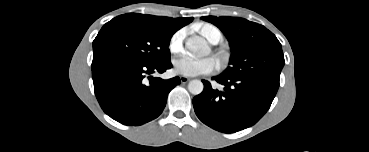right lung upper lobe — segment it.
I'll return each mask as SVG.
<instances>
[{
    "label": "right lung upper lobe",
    "instance_id": "cb5924a9",
    "mask_svg": "<svg viewBox=\"0 0 369 152\" xmlns=\"http://www.w3.org/2000/svg\"><path fill=\"white\" fill-rule=\"evenodd\" d=\"M128 14L138 21L145 22L150 25L166 27L169 29H173L175 31L189 24L193 20V17L171 18V17L143 15L139 13H128Z\"/></svg>",
    "mask_w": 369,
    "mask_h": 152
}]
</instances>
